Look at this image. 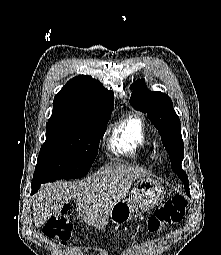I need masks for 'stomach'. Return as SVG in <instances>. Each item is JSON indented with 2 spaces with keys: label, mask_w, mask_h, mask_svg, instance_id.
<instances>
[{
  "label": "stomach",
  "mask_w": 221,
  "mask_h": 255,
  "mask_svg": "<svg viewBox=\"0 0 221 255\" xmlns=\"http://www.w3.org/2000/svg\"><path fill=\"white\" fill-rule=\"evenodd\" d=\"M165 189L157 180L149 177L138 179L131 195L127 199L118 201L110 210V221L117 225H123L130 221L135 209L148 211L162 202Z\"/></svg>",
  "instance_id": "stomach-1"
}]
</instances>
